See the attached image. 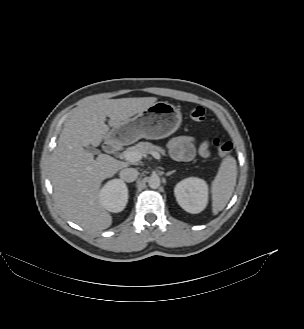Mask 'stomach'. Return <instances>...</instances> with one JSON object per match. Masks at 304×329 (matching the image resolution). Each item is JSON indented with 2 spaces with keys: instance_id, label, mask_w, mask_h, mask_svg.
<instances>
[{
  "instance_id": "0dacf381",
  "label": "stomach",
  "mask_w": 304,
  "mask_h": 329,
  "mask_svg": "<svg viewBox=\"0 0 304 329\" xmlns=\"http://www.w3.org/2000/svg\"><path fill=\"white\" fill-rule=\"evenodd\" d=\"M180 109L168 102H156L134 118L112 128L105 142L112 146L127 145L140 138L162 139L173 134L181 125Z\"/></svg>"
}]
</instances>
